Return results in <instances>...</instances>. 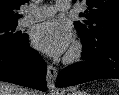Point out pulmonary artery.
<instances>
[{"label":"pulmonary artery","mask_w":119,"mask_h":95,"mask_svg":"<svg viewBox=\"0 0 119 95\" xmlns=\"http://www.w3.org/2000/svg\"><path fill=\"white\" fill-rule=\"evenodd\" d=\"M70 9V4L66 0H59L55 5L31 7L24 17L23 23L28 24L43 20L53 16L57 11L66 12Z\"/></svg>","instance_id":"pulmonary-artery-1"}]
</instances>
